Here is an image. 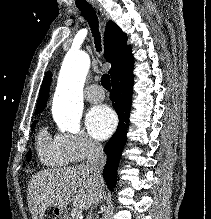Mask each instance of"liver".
Here are the masks:
<instances>
[{
    "label": "liver",
    "mask_w": 211,
    "mask_h": 219,
    "mask_svg": "<svg viewBox=\"0 0 211 219\" xmlns=\"http://www.w3.org/2000/svg\"><path fill=\"white\" fill-rule=\"evenodd\" d=\"M75 194V196H74ZM104 189L97 190L85 165L48 169L32 176L28 185L27 201L33 219H43L48 207L66 209L73 206L89 209L101 200Z\"/></svg>",
    "instance_id": "obj_1"
}]
</instances>
